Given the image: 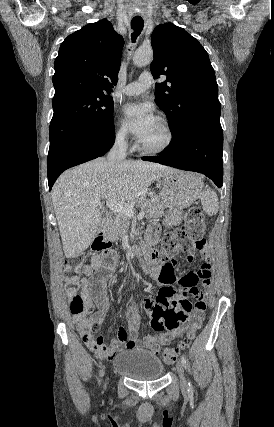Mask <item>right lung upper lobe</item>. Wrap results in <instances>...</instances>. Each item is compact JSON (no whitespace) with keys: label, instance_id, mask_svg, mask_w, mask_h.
<instances>
[{"label":"right lung upper lobe","instance_id":"cb5924a9","mask_svg":"<svg viewBox=\"0 0 274 427\" xmlns=\"http://www.w3.org/2000/svg\"><path fill=\"white\" fill-rule=\"evenodd\" d=\"M123 37L107 19L69 35L54 62L53 102L67 94L111 92L117 84Z\"/></svg>","mask_w":274,"mask_h":427}]
</instances>
